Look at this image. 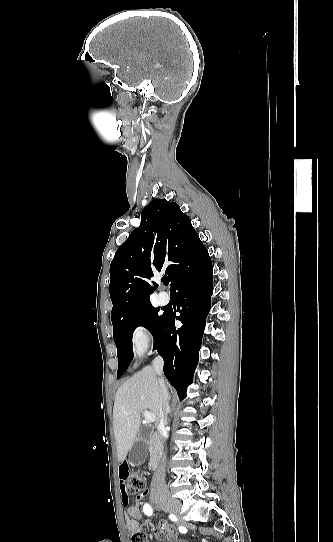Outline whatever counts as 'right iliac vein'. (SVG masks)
<instances>
[{"label":"right iliac vein","instance_id":"1","mask_svg":"<svg viewBox=\"0 0 333 542\" xmlns=\"http://www.w3.org/2000/svg\"><path fill=\"white\" fill-rule=\"evenodd\" d=\"M152 498L154 499L155 495H153ZM157 505L160 508L172 511L176 515L181 508L180 501L176 498L171 497L168 493L164 494V501H158Z\"/></svg>","mask_w":333,"mask_h":542}]
</instances>
